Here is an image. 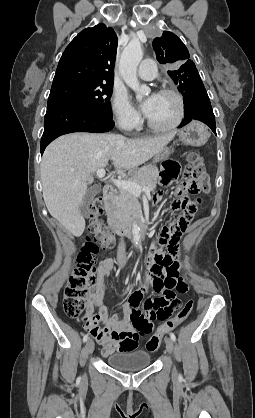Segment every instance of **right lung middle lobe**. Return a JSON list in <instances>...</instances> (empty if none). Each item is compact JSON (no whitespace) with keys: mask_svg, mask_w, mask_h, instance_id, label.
<instances>
[{"mask_svg":"<svg viewBox=\"0 0 255 418\" xmlns=\"http://www.w3.org/2000/svg\"><path fill=\"white\" fill-rule=\"evenodd\" d=\"M113 83L69 81L52 85L48 105L71 104L112 120L110 98Z\"/></svg>","mask_w":255,"mask_h":418,"instance_id":"obj_1","label":"right lung middle lobe"}]
</instances>
